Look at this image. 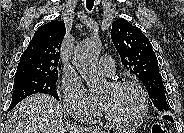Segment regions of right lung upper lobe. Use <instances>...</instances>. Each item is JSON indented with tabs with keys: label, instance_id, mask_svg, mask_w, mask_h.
<instances>
[{
	"label": "right lung upper lobe",
	"instance_id": "cb5924a9",
	"mask_svg": "<svg viewBox=\"0 0 184 133\" xmlns=\"http://www.w3.org/2000/svg\"><path fill=\"white\" fill-rule=\"evenodd\" d=\"M66 29L63 21H51L34 33L23 52L15 78L56 77L60 48Z\"/></svg>",
	"mask_w": 184,
	"mask_h": 133
}]
</instances>
